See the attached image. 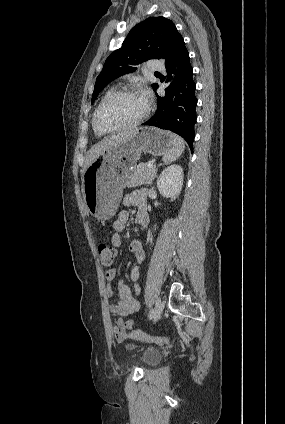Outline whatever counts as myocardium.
Masks as SVG:
<instances>
[{"label": "myocardium", "mask_w": 285, "mask_h": 424, "mask_svg": "<svg viewBox=\"0 0 285 424\" xmlns=\"http://www.w3.org/2000/svg\"><path fill=\"white\" fill-rule=\"evenodd\" d=\"M129 94H140V91L137 88H133V87L123 88V89L114 91L113 93L108 95L99 104V106L96 108L94 115H93V126L99 133L108 134V133H112V132H118V131L130 129L132 127L139 125L140 123H142L148 117V115L150 113L149 103H147V107H146L145 112L141 116H139L137 119H135V120H133L129 123L122 124V125L115 126V127H102L99 124V115H100L102 109L113 99L120 97V96L129 95Z\"/></svg>", "instance_id": "f54148a6"}]
</instances>
